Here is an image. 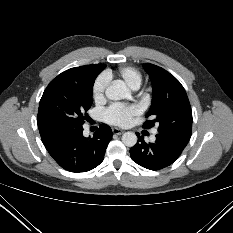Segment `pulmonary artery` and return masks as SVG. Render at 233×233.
Listing matches in <instances>:
<instances>
[{"mask_svg": "<svg viewBox=\"0 0 233 233\" xmlns=\"http://www.w3.org/2000/svg\"><path fill=\"white\" fill-rule=\"evenodd\" d=\"M138 87H139V86H136V87H134L133 89L136 90V89H138ZM156 133H157V129H155V130L153 131V135H155ZM153 138H154V137H153Z\"/></svg>", "mask_w": 233, "mask_h": 233, "instance_id": "e3ab8cb5", "label": "pulmonary artery"}]
</instances>
